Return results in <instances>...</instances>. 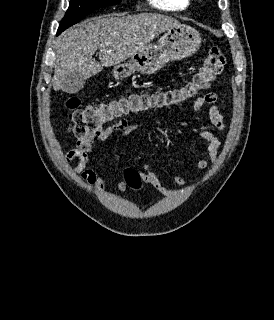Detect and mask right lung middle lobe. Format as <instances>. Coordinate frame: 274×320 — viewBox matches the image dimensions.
Returning a JSON list of instances; mask_svg holds the SVG:
<instances>
[{
  "mask_svg": "<svg viewBox=\"0 0 274 320\" xmlns=\"http://www.w3.org/2000/svg\"><path fill=\"white\" fill-rule=\"evenodd\" d=\"M121 0H70L69 8L58 28L57 35L78 23L94 10L120 3Z\"/></svg>",
  "mask_w": 274,
  "mask_h": 320,
  "instance_id": "1",
  "label": "right lung middle lobe"
}]
</instances>
